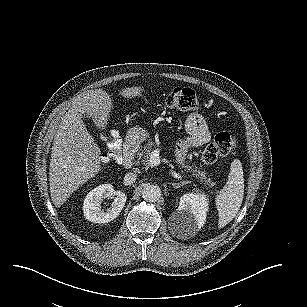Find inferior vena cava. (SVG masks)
<instances>
[{"label":"inferior vena cava","mask_w":307,"mask_h":307,"mask_svg":"<svg viewBox=\"0 0 307 307\" xmlns=\"http://www.w3.org/2000/svg\"><path fill=\"white\" fill-rule=\"evenodd\" d=\"M137 179V174L135 173H126L124 176V185L129 186L135 183Z\"/></svg>","instance_id":"1"}]
</instances>
